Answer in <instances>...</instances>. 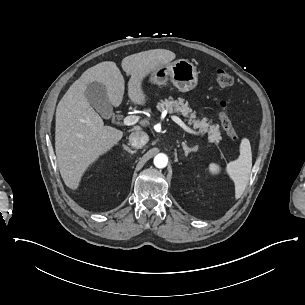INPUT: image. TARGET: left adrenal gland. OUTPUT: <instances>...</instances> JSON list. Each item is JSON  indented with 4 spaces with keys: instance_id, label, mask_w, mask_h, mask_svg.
Masks as SVG:
<instances>
[{
    "instance_id": "1",
    "label": "left adrenal gland",
    "mask_w": 305,
    "mask_h": 305,
    "mask_svg": "<svg viewBox=\"0 0 305 305\" xmlns=\"http://www.w3.org/2000/svg\"><path fill=\"white\" fill-rule=\"evenodd\" d=\"M183 150L185 151V157L187 158L189 153H194V150L189 149L184 142H182Z\"/></svg>"
}]
</instances>
